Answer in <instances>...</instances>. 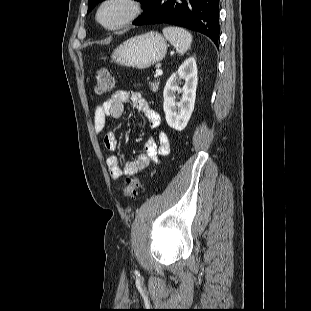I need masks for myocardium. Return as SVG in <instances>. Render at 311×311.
Masks as SVG:
<instances>
[{
  "mask_svg": "<svg viewBox=\"0 0 311 311\" xmlns=\"http://www.w3.org/2000/svg\"><path fill=\"white\" fill-rule=\"evenodd\" d=\"M112 3H120L122 4L126 11L124 16L115 24L108 25L102 20V11L103 9ZM141 5L138 0H103L96 11V20L97 22L109 31H116L122 29L132 23L140 14Z\"/></svg>",
  "mask_w": 311,
  "mask_h": 311,
  "instance_id": "1",
  "label": "myocardium"
}]
</instances>
